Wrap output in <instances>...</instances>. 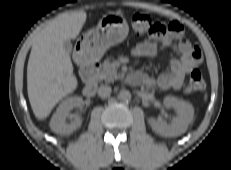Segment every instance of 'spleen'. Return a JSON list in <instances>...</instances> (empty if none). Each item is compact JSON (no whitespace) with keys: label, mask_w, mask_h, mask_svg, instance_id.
<instances>
[{"label":"spleen","mask_w":231,"mask_h":170,"mask_svg":"<svg viewBox=\"0 0 231 170\" xmlns=\"http://www.w3.org/2000/svg\"><path fill=\"white\" fill-rule=\"evenodd\" d=\"M204 100H207V94H205V96H204Z\"/></svg>","instance_id":"spleen-1"}]
</instances>
